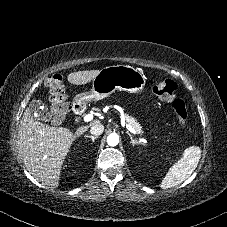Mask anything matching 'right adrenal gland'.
I'll list each match as a JSON object with an SVG mask.
<instances>
[{
  "label": "right adrenal gland",
  "mask_w": 227,
  "mask_h": 227,
  "mask_svg": "<svg viewBox=\"0 0 227 227\" xmlns=\"http://www.w3.org/2000/svg\"><path fill=\"white\" fill-rule=\"evenodd\" d=\"M85 138H90L92 140V142H94V140L96 138H98V136H89V135H85Z\"/></svg>",
  "instance_id": "1"
}]
</instances>
